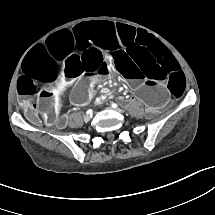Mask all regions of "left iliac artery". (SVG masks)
<instances>
[{"instance_id":"44dca946","label":"left iliac artery","mask_w":215,"mask_h":215,"mask_svg":"<svg viewBox=\"0 0 215 215\" xmlns=\"http://www.w3.org/2000/svg\"><path fill=\"white\" fill-rule=\"evenodd\" d=\"M111 106H112L113 108H117V107H118L116 103H112Z\"/></svg>"}]
</instances>
